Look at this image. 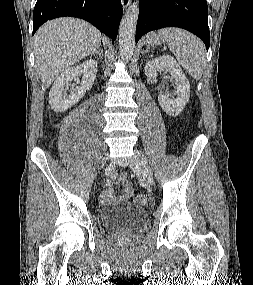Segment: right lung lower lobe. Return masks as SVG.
<instances>
[{
	"mask_svg": "<svg viewBox=\"0 0 253 285\" xmlns=\"http://www.w3.org/2000/svg\"><path fill=\"white\" fill-rule=\"evenodd\" d=\"M122 14L121 0H37L33 35L47 20L72 16L90 22L114 42Z\"/></svg>",
	"mask_w": 253,
	"mask_h": 285,
	"instance_id": "98d812e1",
	"label": "right lung lower lobe"
}]
</instances>
